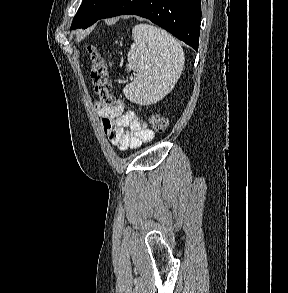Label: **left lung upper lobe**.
<instances>
[{"label": "left lung upper lobe", "mask_w": 288, "mask_h": 293, "mask_svg": "<svg viewBox=\"0 0 288 293\" xmlns=\"http://www.w3.org/2000/svg\"><path fill=\"white\" fill-rule=\"evenodd\" d=\"M117 0H83L71 29L87 28L94 24Z\"/></svg>", "instance_id": "left-lung-upper-lobe-1"}]
</instances>
